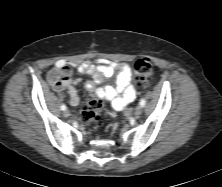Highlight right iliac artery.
<instances>
[{"mask_svg": "<svg viewBox=\"0 0 222 187\" xmlns=\"http://www.w3.org/2000/svg\"><path fill=\"white\" fill-rule=\"evenodd\" d=\"M66 108H67V107H66L64 104H63V105H61V110H63V111H64V110H66Z\"/></svg>", "mask_w": 222, "mask_h": 187, "instance_id": "obj_1", "label": "right iliac artery"}]
</instances>
